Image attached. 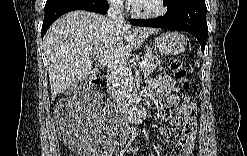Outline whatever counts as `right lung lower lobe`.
<instances>
[{
  "label": "right lung lower lobe",
  "instance_id": "right-lung-lower-lobe-1",
  "mask_svg": "<svg viewBox=\"0 0 247 156\" xmlns=\"http://www.w3.org/2000/svg\"><path fill=\"white\" fill-rule=\"evenodd\" d=\"M73 10H86L106 14L108 2L106 0H50L45 5V15L41 36L43 38L49 26L63 14Z\"/></svg>",
  "mask_w": 247,
  "mask_h": 156
}]
</instances>
